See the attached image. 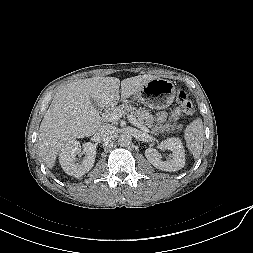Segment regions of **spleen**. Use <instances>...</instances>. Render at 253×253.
Here are the masks:
<instances>
[{"mask_svg":"<svg viewBox=\"0 0 253 253\" xmlns=\"http://www.w3.org/2000/svg\"><path fill=\"white\" fill-rule=\"evenodd\" d=\"M187 148L195 159L199 158L204 141V128L201 118L193 120L184 131Z\"/></svg>","mask_w":253,"mask_h":253,"instance_id":"obj_1","label":"spleen"}]
</instances>
